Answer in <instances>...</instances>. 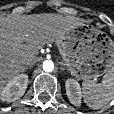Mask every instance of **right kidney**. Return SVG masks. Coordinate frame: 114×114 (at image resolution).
Segmentation results:
<instances>
[{
    "instance_id": "1",
    "label": "right kidney",
    "mask_w": 114,
    "mask_h": 114,
    "mask_svg": "<svg viewBox=\"0 0 114 114\" xmlns=\"http://www.w3.org/2000/svg\"><path fill=\"white\" fill-rule=\"evenodd\" d=\"M28 85V75L19 74L13 77L2 90L1 99L6 102H14L22 97Z\"/></svg>"
}]
</instances>
